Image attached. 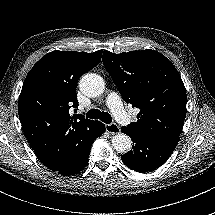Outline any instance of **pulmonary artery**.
Returning <instances> with one entry per match:
<instances>
[{"mask_svg": "<svg viewBox=\"0 0 215 215\" xmlns=\"http://www.w3.org/2000/svg\"><path fill=\"white\" fill-rule=\"evenodd\" d=\"M106 106L111 110V114L120 128L126 129L134 124V115L124 110V105L118 100L117 94L111 93L108 96Z\"/></svg>", "mask_w": 215, "mask_h": 215, "instance_id": "e3ab8cb5", "label": "pulmonary artery"}]
</instances>
